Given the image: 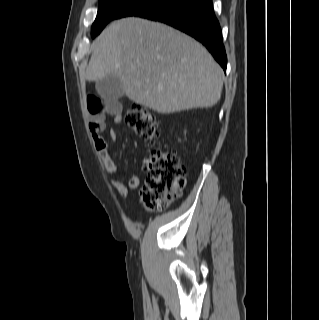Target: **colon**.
Returning a JSON list of instances; mask_svg holds the SVG:
<instances>
[{
    "label": "colon",
    "instance_id": "colon-1",
    "mask_svg": "<svg viewBox=\"0 0 319 320\" xmlns=\"http://www.w3.org/2000/svg\"><path fill=\"white\" fill-rule=\"evenodd\" d=\"M124 117L138 137L154 140L158 122L146 107L134 104L126 110ZM144 169L146 183L140 192V201L149 211L163 210L180 196L186 169L176 154L158 148L151 149L145 159Z\"/></svg>",
    "mask_w": 319,
    "mask_h": 320
}]
</instances>
